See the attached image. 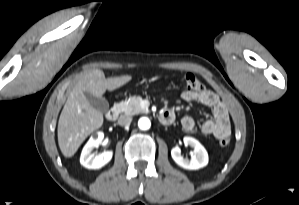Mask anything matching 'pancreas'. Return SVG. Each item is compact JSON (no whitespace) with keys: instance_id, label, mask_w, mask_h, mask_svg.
I'll use <instances>...</instances> for the list:
<instances>
[{"instance_id":"pancreas-1","label":"pancreas","mask_w":299,"mask_h":205,"mask_svg":"<svg viewBox=\"0 0 299 205\" xmlns=\"http://www.w3.org/2000/svg\"><path fill=\"white\" fill-rule=\"evenodd\" d=\"M142 98L140 96L131 97L130 99L120 102L115 105L116 109L126 115H136L139 113H145L147 110L142 108L140 103Z\"/></svg>"}]
</instances>
